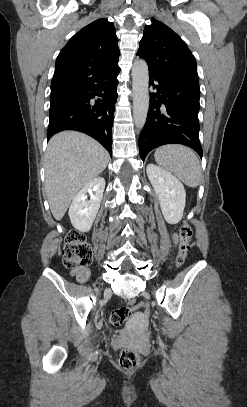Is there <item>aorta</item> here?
I'll use <instances>...</instances> for the list:
<instances>
[{
    "label": "aorta",
    "mask_w": 247,
    "mask_h": 407,
    "mask_svg": "<svg viewBox=\"0 0 247 407\" xmlns=\"http://www.w3.org/2000/svg\"><path fill=\"white\" fill-rule=\"evenodd\" d=\"M149 70L147 63L136 60L132 67L133 118L137 128H143L149 108Z\"/></svg>",
    "instance_id": "762f6f07"
}]
</instances>
